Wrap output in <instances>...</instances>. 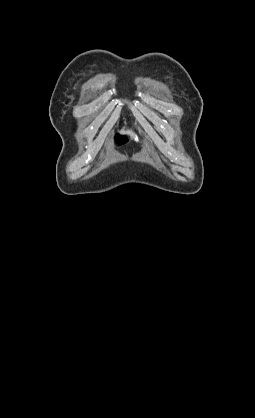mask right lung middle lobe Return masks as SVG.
I'll return each instance as SVG.
<instances>
[{"label":"right lung middle lobe","instance_id":"1","mask_svg":"<svg viewBox=\"0 0 255 418\" xmlns=\"http://www.w3.org/2000/svg\"><path fill=\"white\" fill-rule=\"evenodd\" d=\"M115 140L117 141V143H118L119 145H122V144H124V143H126V142H127L126 137H124V136H120V135H116V136H115Z\"/></svg>","mask_w":255,"mask_h":418}]
</instances>
